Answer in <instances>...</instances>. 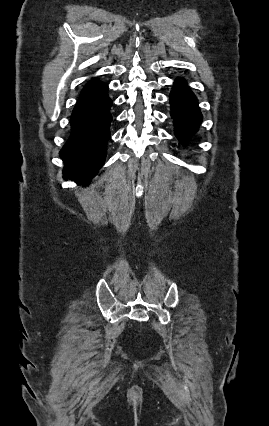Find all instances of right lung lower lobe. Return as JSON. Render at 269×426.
<instances>
[{
  "label": "right lung lower lobe",
  "instance_id": "1",
  "mask_svg": "<svg viewBox=\"0 0 269 426\" xmlns=\"http://www.w3.org/2000/svg\"><path fill=\"white\" fill-rule=\"evenodd\" d=\"M107 91V85L94 79L79 96L71 115V135L60 151L65 180L86 185L104 164L112 121Z\"/></svg>",
  "mask_w": 269,
  "mask_h": 426
}]
</instances>
